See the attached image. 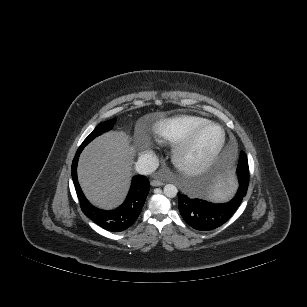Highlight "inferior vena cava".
<instances>
[{
    "label": "inferior vena cava",
    "mask_w": 307,
    "mask_h": 307,
    "mask_svg": "<svg viewBox=\"0 0 307 307\" xmlns=\"http://www.w3.org/2000/svg\"><path fill=\"white\" fill-rule=\"evenodd\" d=\"M159 166V160L153 153L142 154L139 156L135 170L142 175L153 173Z\"/></svg>",
    "instance_id": "inferior-vena-cava-1"
}]
</instances>
